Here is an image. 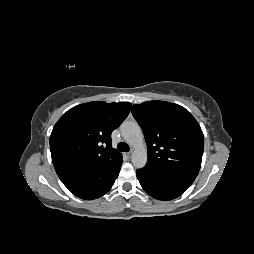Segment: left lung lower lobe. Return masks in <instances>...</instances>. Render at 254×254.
<instances>
[{
    "mask_svg": "<svg viewBox=\"0 0 254 254\" xmlns=\"http://www.w3.org/2000/svg\"><path fill=\"white\" fill-rule=\"evenodd\" d=\"M143 189L158 200H172L183 194L196 177L177 172L161 170L152 165L136 171Z\"/></svg>",
    "mask_w": 254,
    "mask_h": 254,
    "instance_id": "0a47b994",
    "label": "left lung lower lobe"
}]
</instances>
